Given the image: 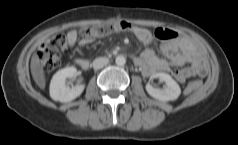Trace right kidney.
<instances>
[{
    "instance_id": "1",
    "label": "right kidney",
    "mask_w": 238,
    "mask_h": 145,
    "mask_svg": "<svg viewBox=\"0 0 238 145\" xmlns=\"http://www.w3.org/2000/svg\"><path fill=\"white\" fill-rule=\"evenodd\" d=\"M76 74L77 69L73 66L57 71L50 83V97L55 101L70 102L80 96L84 91V84L77 85L73 88H70L66 84V80L75 77Z\"/></svg>"
}]
</instances>
